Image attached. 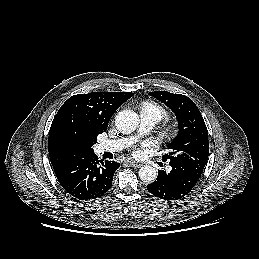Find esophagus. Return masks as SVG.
I'll use <instances>...</instances> for the list:
<instances>
[{
  "instance_id": "34e87169",
  "label": "esophagus",
  "mask_w": 259,
  "mask_h": 259,
  "mask_svg": "<svg viewBox=\"0 0 259 259\" xmlns=\"http://www.w3.org/2000/svg\"><path fill=\"white\" fill-rule=\"evenodd\" d=\"M127 162L132 166V167H135V168H139L141 166L140 163L134 161V160H127Z\"/></svg>"
}]
</instances>
